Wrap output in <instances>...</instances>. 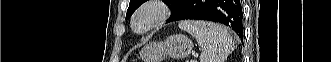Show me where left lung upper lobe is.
I'll use <instances>...</instances> for the list:
<instances>
[{"mask_svg": "<svg viewBox=\"0 0 331 62\" xmlns=\"http://www.w3.org/2000/svg\"><path fill=\"white\" fill-rule=\"evenodd\" d=\"M147 0H130L129 8L127 10L126 18H129L134 11L144 2ZM170 8L173 9V13L171 17H173L184 5L186 0H165L164 1ZM170 17V18H171Z\"/></svg>", "mask_w": 331, "mask_h": 62, "instance_id": "5c2ea615", "label": "left lung upper lobe"}]
</instances>
